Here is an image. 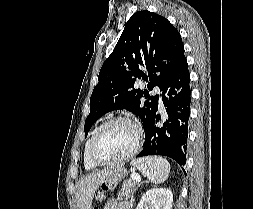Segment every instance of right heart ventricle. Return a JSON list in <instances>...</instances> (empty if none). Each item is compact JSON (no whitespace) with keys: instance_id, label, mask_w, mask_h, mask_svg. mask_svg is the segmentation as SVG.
Here are the masks:
<instances>
[{"instance_id":"e07e8e85","label":"right heart ventricle","mask_w":253,"mask_h":209,"mask_svg":"<svg viewBox=\"0 0 253 209\" xmlns=\"http://www.w3.org/2000/svg\"><path fill=\"white\" fill-rule=\"evenodd\" d=\"M96 129H94L92 131V133L90 134V136L87 139V141L85 143V146H84L83 161H84L85 168L88 169V170H92V169L96 168V165L91 161L90 154H89L90 142H91V139H92Z\"/></svg>"}]
</instances>
